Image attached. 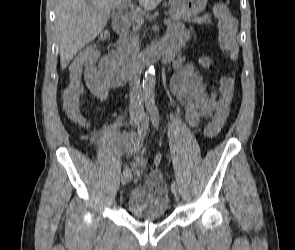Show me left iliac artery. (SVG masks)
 <instances>
[{
	"label": "left iliac artery",
	"mask_w": 295,
	"mask_h": 250,
	"mask_svg": "<svg viewBox=\"0 0 295 250\" xmlns=\"http://www.w3.org/2000/svg\"><path fill=\"white\" fill-rule=\"evenodd\" d=\"M150 115H151V121H152L154 128L156 130H158V128H159V111L155 105H152L150 107ZM175 188H177V186H176V183L173 181L171 183V189H175Z\"/></svg>",
	"instance_id": "left-iliac-artery-1"
}]
</instances>
